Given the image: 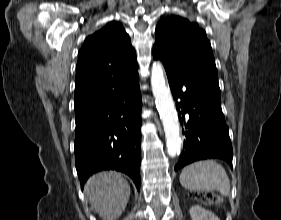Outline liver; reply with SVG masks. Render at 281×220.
Returning a JSON list of instances; mask_svg holds the SVG:
<instances>
[{"instance_id":"liver-1","label":"liver","mask_w":281,"mask_h":220,"mask_svg":"<svg viewBox=\"0 0 281 220\" xmlns=\"http://www.w3.org/2000/svg\"><path fill=\"white\" fill-rule=\"evenodd\" d=\"M85 193L103 220H116L127 206L130 185L120 173L103 171L88 179Z\"/></svg>"}]
</instances>
